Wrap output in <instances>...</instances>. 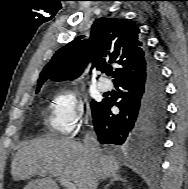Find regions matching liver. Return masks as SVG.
Masks as SVG:
<instances>
[{
  "instance_id": "1",
  "label": "liver",
  "mask_w": 188,
  "mask_h": 189,
  "mask_svg": "<svg viewBox=\"0 0 188 189\" xmlns=\"http://www.w3.org/2000/svg\"><path fill=\"white\" fill-rule=\"evenodd\" d=\"M119 161L100 153L93 158L84 145L67 139L37 138L24 143L16 152L11 174L15 181H30L24 189H59L56 179L73 182L77 189H97L98 181L116 174ZM44 172V174H42Z\"/></svg>"
}]
</instances>
